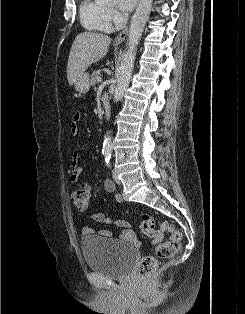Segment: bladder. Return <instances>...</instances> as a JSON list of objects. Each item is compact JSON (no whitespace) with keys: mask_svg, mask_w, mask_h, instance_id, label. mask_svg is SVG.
<instances>
[{"mask_svg":"<svg viewBox=\"0 0 245 314\" xmlns=\"http://www.w3.org/2000/svg\"><path fill=\"white\" fill-rule=\"evenodd\" d=\"M81 251L86 266L107 277L125 276L138 257L130 245L98 235L84 237Z\"/></svg>","mask_w":245,"mask_h":314,"instance_id":"1","label":"bladder"}]
</instances>
